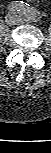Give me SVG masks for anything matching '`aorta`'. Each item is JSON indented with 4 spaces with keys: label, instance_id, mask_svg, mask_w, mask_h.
Segmentation results:
<instances>
[{
    "label": "aorta",
    "instance_id": "762f6f07",
    "mask_svg": "<svg viewBox=\"0 0 51 153\" xmlns=\"http://www.w3.org/2000/svg\"><path fill=\"white\" fill-rule=\"evenodd\" d=\"M32 17H33V18H36V17H37V14H36V13H33V14H32Z\"/></svg>",
    "mask_w": 51,
    "mask_h": 153
}]
</instances>
